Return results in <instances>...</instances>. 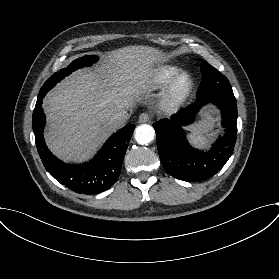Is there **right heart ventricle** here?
<instances>
[{
  "mask_svg": "<svg viewBox=\"0 0 279 279\" xmlns=\"http://www.w3.org/2000/svg\"><path fill=\"white\" fill-rule=\"evenodd\" d=\"M181 72L182 69L175 65L156 66L146 74L142 82V88L146 90L163 89Z\"/></svg>",
  "mask_w": 279,
  "mask_h": 279,
  "instance_id": "e07e8e85",
  "label": "right heart ventricle"
}]
</instances>
